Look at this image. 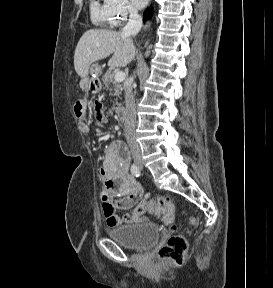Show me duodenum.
I'll return each mask as SVG.
<instances>
[{"label":"duodenum","mask_w":273,"mask_h":288,"mask_svg":"<svg viewBox=\"0 0 273 288\" xmlns=\"http://www.w3.org/2000/svg\"><path fill=\"white\" fill-rule=\"evenodd\" d=\"M116 114H117V117L119 119V121H125L126 119V110L123 106H118L116 108Z\"/></svg>","instance_id":"obj_1"}]
</instances>
